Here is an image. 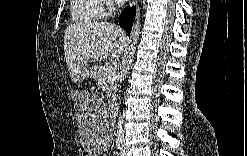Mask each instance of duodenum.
<instances>
[{"label":"duodenum","mask_w":247,"mask_h":156,"mask_svg":"<svg viewBox=\"0 0 247 156\" xmlns=\"http://www.w3.org/2000/svg\"><path fill=\"white\" fill-rule=\"evenodd\" d=\"M111 111H112V113L115 112V104L114 103H112V105H111Z\"/></svg>","instance_id":"1"}]
</instances>
